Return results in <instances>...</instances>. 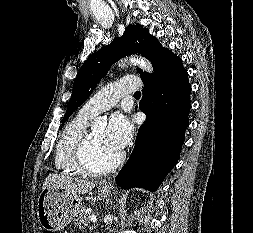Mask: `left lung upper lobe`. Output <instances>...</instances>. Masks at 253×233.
Segmentation results:
<instances>
[{
  "label": "left lung upper lobe",
  "mask_w": 253,
  "mask_h": 233,
  "mask_svg": "<svg viewBox=\"0 0 253 233\" xmlns=\"http://www.w3.org/2000/svg\"><path fill=\"white\" fill-rule=\"evenodd\" d=\"M142 27L140 24L129 25L122 37L115 38L111 44L102 47L84 62L75 78L62 124L86 101L110 66L120 58L138 53L154 64L166 48L159 44L156 37L148 33V29ZM137 71L140 76L145 74L140 68Z\"/></svg>",
  "instance_id": "5c2ea615"
}]
</instances>
